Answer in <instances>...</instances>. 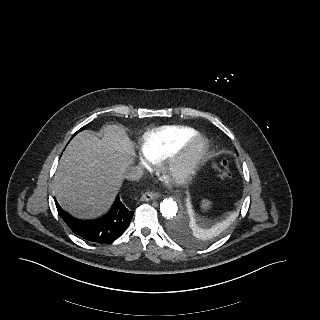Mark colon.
I'll return each instance as SVG.
<instances>
[{
    "instance_id": "obj_1",
    "label": "colon",
    "mask_w": 320,
    "mask_h": 320,
    "mask_svg": "<svg viewBox=\"0 0 320 320\" xmlns=\"http://www.w3.org/2000/svg\"><path fill=\"white\" fill-rule=\"evenodd\" d=\"M220 175L223 179H229L230 178V173L228 170V165L225 160L221 161L220 163V168H219Z\"/></svg>"
}]
</instances>
